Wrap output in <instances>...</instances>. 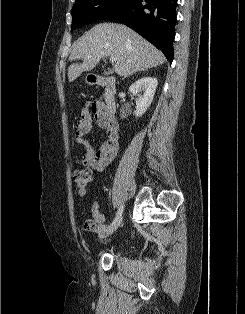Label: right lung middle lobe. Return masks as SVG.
Wrapping results in <instances>:
<instances>
[{"label":"right lung middle lobe","mask_w":245,"mask_h":314,"mask_svg":"<svg viewBox=\"0 0 245 314\" xmlns=\"http://www.w3.org/2000/svg\"><path fill=\"white\" fill-rule=\"evenodd\" d=\"M130 0H76L72 8L71 30L105 19Z\"/></svg>","instance_id":"obj_1"}]
</instances>
